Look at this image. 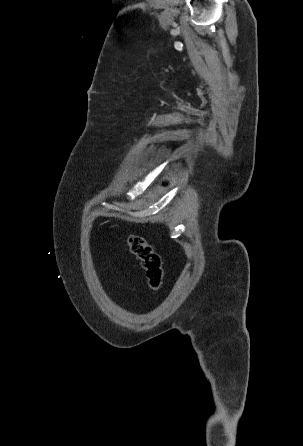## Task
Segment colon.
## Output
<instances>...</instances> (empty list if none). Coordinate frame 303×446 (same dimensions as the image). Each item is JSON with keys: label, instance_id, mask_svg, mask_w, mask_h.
<instances>
[{"label": "colon", "instance_id": "colon-1", "mask_svg": "<svg viewBox=\"0 0 303 446\" xmlns=\"http://www.w3.org/2000/svg\"><path fill=\"white\" fill-rule=\"evenodd\" d=\"M127 244L145 271L148 287L151 291H157L162 285L164 274L160 255L143 236L130 235Z\"/></svg>", "mask_w": 303, "mask_h": 446}]
</instances>
